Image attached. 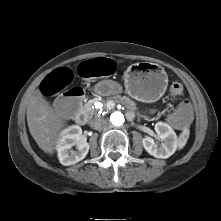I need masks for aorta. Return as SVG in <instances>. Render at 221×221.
Masks as SVG:
<instances>
[{
    "instance_id": "aorta-1",
    "label": "aorta",
    "mask_w": 221,
    "mask_h": 221,
    "mask_svg": "<svg viewBox=\"0 0 221 221\" xmlns=\"http://www.w3.org/2000/svg\"><path fill=\"white\" fill-rule=\"evenodd\" d=\"M110 121L114 126H120L124 123V115L121 112H114L110 116Z\"/></svg>"
}]
</instances>
